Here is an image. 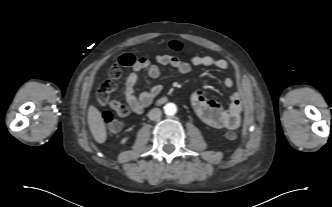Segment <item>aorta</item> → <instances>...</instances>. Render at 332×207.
<instances>
[{"label":"aorta","mask_w":332,"mask_h":207,"mask_svg":"<svg viewBox=\"0 0 332 207\" xmlns=\"http://www.w3.org/2000/svg\"><path fill=\"white\" fill-rule=\"evenodd\" d=\"M164 112L168 116H173L177 112V107H176V105L174 103H167L164 106Z\"/></svg>","instance_id":"obj_1"}]
</instances>
